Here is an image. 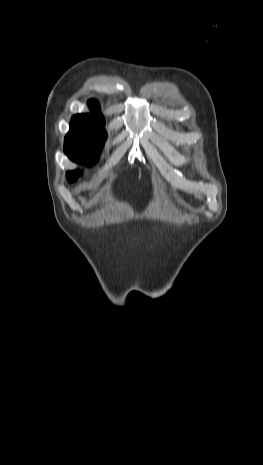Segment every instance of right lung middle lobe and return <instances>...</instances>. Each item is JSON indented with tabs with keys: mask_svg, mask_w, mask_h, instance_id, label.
Instances as JSON below:
<instances>
[{
	"mask_svg": "<svg viewBox=\"0 0 263 465\" xmlns=\"http://www.w3.org/2000/svg\"><path fill=\"white\" fill-rule=\"evenodd\" d=\"M107 134L104 123L71 119L70 130L65 137V154L74 162L93 164L98 158ZM79 170L67 172L69 182L76 181Z\"/></svg>",
	"mask_w": 263,
	"mask_h": 465,
	"instance_id": "right-lung-middle-lobe-1",
	"label": "right lung middle lobe"
}]
</instances>
